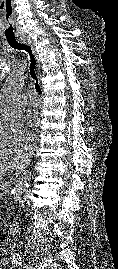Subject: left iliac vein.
I'll return each instance as SVG.
<instances>
[{"mask_svg": "<svg viewBox=\"0 0 118 269\" xmlns=\"http://www.w3.org/2000/svg\"><path fill=\"white\" fill-rule=\"evenodd\" d=\"M25 269H34V268L31 266H25Z\"/></svg>", "mask_w": 118, "mask_h": 269, "instance_id": "4c4485c4", "label": "left iliac vein"}]
</instances>
